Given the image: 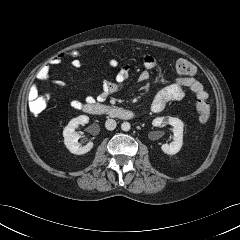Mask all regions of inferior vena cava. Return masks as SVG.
Returning <instances> with one entry per match:
<instances>
[{
  "instance_id": "602c4592",
  "label": "inferior vena cava",
  "mask_w": 240,
  "mask_h": 240,
  "mask_svg": "<svg viewBox=\"0 0 240 240\" xmlns=\"http://www.w3.org/2000/svg\"><path fill=\"white\" fill-rule=\"evenodd\" d=\"M116 121L114 119H107L105 122V127L107 130H114L116 128Z\"/></svg>"
}]
</instances>
